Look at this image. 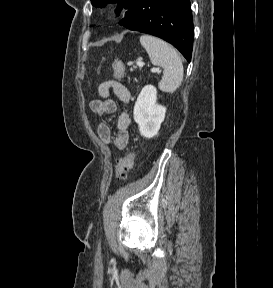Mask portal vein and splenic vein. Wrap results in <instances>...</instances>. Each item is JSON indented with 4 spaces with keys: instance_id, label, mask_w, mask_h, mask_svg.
Instances as JSON below:
<instances>
[{
    "instance_id": "portal-vein-and-splenic-vein-1",
    "label": "portal vein and splenic vein",
    "mask_w": 273,
    "mask_h": 288,
    "mask_svg": "<svg viewBox=\"0 0 273 288\" xmlns=\"http://www.w3.org/2000/svg\"><path fill=\"white\" fill-rule=\"evenodd\" d=\"M137 66H139V67H143V66H144V63L141 62V61H139V62H137ZM158 71H159L158 68H154V69H152V72H158Z\"/></svg>"
}]
</instances>
